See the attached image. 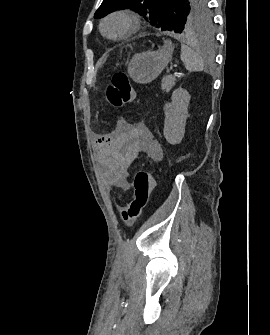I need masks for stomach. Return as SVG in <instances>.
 Here are the masks:
<instances>
[{
  "label": "stomach",
  "instance_id": "0dacf381",
  "mask_svg": "<svg viewBox=\"0 0 270 335\" xmlns=\"http://www.w3.org/2000/svg\"><path fill=\"white\" fill-rule=\"evenodd\" d=\"M172 52V42H165L157 52L135 54L127 68L130 78L137 84H149L161 74L168 62H171Z\"/></svg>",
  "mask_w": 270,
  "mask_h": 335
}]
</instances>
